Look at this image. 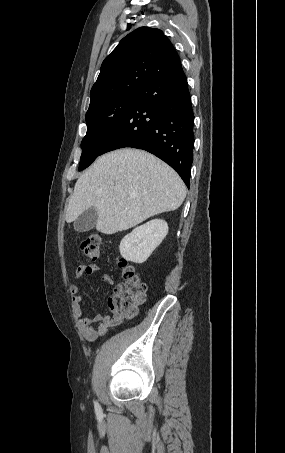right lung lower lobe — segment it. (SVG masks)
I'll use <instances>...</instances> for the list:
<instances>
[{
    "mask_svg": "<svg viewBox=\"0 0 285 453\" xmlns=\"http://www.w3.org/2000/svg\"><path fill=\"white\" fill-rule=\"evenodd\" d=\"M193 125L187 78L179 64L142 87L102 154L124 147L146 150L169 164L189 188Z\"/></svg>",
    "mask_w": 285,
    "mask_h": 453,
    "instance_id": "98d812e1",
    "label": "right lung lower lobe"
}]
</instances>
